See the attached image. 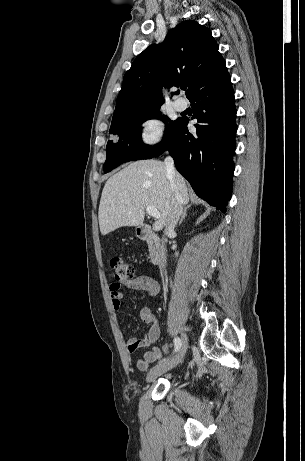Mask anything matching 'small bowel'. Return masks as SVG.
Here are the masks:
<instances>
[{
  "label": "small bowel",
  "instance_id": "small-bowel-1",
  "mask_svg": "<svg viewBox=\"0 0 305 461\" xmlns=\"http://www.w3.org/2000/svg\"><path fill=\"white\" fill-rule=\"evenodd\" d=\"M122 287L130 290L143 291L150 297L157 295L159 291L158 282L149 276H140L132 280L112 282L109 286L111 304L117 312V318L120 321L124 320V316L120 312L123 300V294L121 292ZM140 318L147 326L145 336L142 339L128 337L126 339V348L129 353H135L142 347L150 348L141 358L135 361L136 367L144 371L148 369L151 363L162 357V352L157 346V340L160 336V326L155 313L151 308L144 306L140 309ZM168 349V345L163 347L164 352H167Z\"/></svg>",
  "mask_w": 305,
  "mask_h": 461
}]
</instances>
